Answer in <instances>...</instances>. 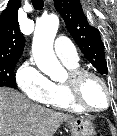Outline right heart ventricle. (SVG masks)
<instances>
[{
	"label": "right heart ventricle",
	"instance_id": "1",
	"mask_svg": "<svg viewBox=\"0 0 117 136\" xmlns=\"http://www.w3.org/2000/svg\"><path fill=\"white\" fill-rule=\"evenodd\" d=\"M66 65L70 70L79 69L77 63L66 64ZM47 104L55 108L70 111V112H76V113L82 112V110L76 107L69 99L63 83H53L52 92Z\"/></svg>",
	"mask_w": 117,
	"mask_h": 136
}]
</instances>
